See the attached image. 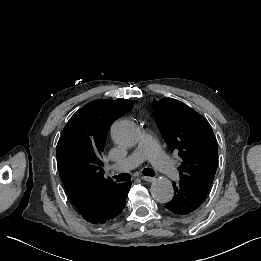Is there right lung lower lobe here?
Wrapping results in <instances>:
<instances>
[{
	"mask_svg": "<svg viewBox=\"0 0 261 261\" xmlns=\"http://www.w3.org/2000/svg\"><path fill=\"white\" fill-rule=\"evenodd\" d=\"M131 187V183L115 184L96 193L79 210L80 215L93 224L105 223L119 215L126 204V194Z\"/></svg>",
	"mask_w": 261,
	"mask_h": 261,
	"instance_id": "obj_1",
	"label": "right lung lower lobe"
}]
</instances>
